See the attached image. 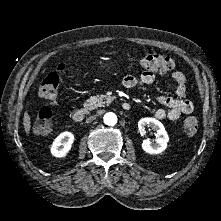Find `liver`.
Returning a JSON list of instances; mask_svg holds the SVG:
<instances>
[{"instance_id": "6515ba94", "label": "liver", "mask_w": 221, "mask_h": 221, "mask_svg": "<svg viewBox=\"0 0 221 221\" xmlns=\"http://www.w3.org/2000/svg\"><path fill=\"white\" fill-rule=\"evenodd\" d=\"M23 126L26 134H29L31 129V118L27 111L24 113Z\"/></svg>"}]
</instances>
